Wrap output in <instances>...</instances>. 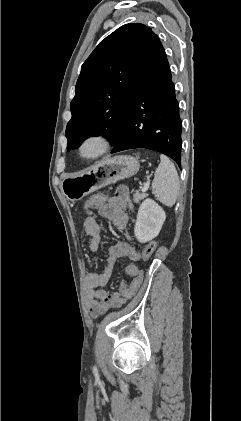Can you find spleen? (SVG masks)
<instances>
[{"label": "spleen", "instance_id": "1", "mask_svg": "<svg viewBox=\"0 0 241 421\" xmlns=\"http://www.w3.org/2000/svg\"><path fill=\"white\" fill-rule=\"evenodd\" d=\"M160 160L152 182V193L162 204L172 207L179 194V177L167 156L160 155Z\"/></svg>", "mask_w": 241, "mask_h": 421}]
</instances>
